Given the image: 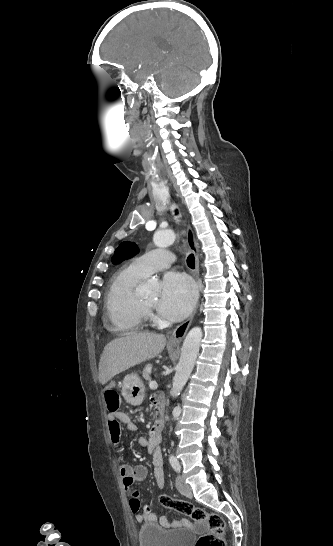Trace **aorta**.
Returning <instances> with one entry per match:
<instances>
[{"mask_svg":"<svg viewBox=\"0 0 333 546\" xmlns=\"http://www.w3.org/2000/svg\"><path fill=\"white\" fill-rule=\"evenodd\" d=\"M176 234L172 230H162L154 234L153 241L157 247H168L174 243ZM202 339V330L200 327L192 328L185 340L181 349V356L176 367V373L173 378L171 393L177 397L194 368L195 361L199 352L200 342Z\"/></svg>","mask_w":333,"mask_h":546,"instance_id":"1","label":"aorta"}]
</instances>
